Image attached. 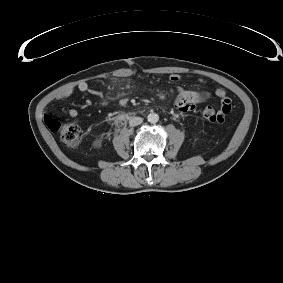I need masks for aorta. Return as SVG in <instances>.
<instances>
[{"label": "aorta", "instance_id": "762f6f07", "mask_svg": "<svg viewBox=\"0 0 283 283\" xmlns=\"http://www.w3.org/2000/svg\"><path fill=\"white\" fill-rule=\"evenodd\" d=\"M158 120H159V116L156 113L152 112L148 115V121L150 123L155 124L158 122Z\"/></svg>", "mask_w": 283, "mask_h": 283}]
</instances>
